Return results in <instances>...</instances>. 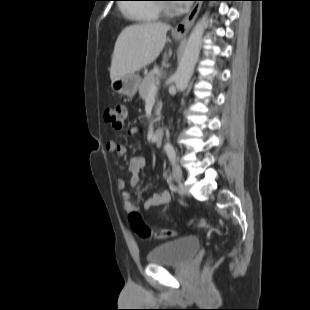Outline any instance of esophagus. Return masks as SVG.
I'll use <instances>...</instances> for the list:
<instances>
[{"label": "esophagus", "mask_w": 310, "mask_h": 310, "mask_svg": "<svg viewBox=\"0 0 310 310\" xmlns=\"http://www.w3.org/2000/svg\"><path fill=\"white\" fill-rule=\"evenodd\" d=\"M200 8L201 2L195 3L190 12L175 26L173 33L176 36L184 37L188 34L198 16Z\"/></svg>", "instance_id": "34e87169"}]
</instances>
